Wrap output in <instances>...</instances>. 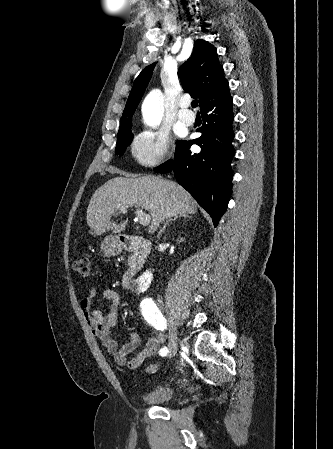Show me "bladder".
Segmentation results:
<instances>
[{
    "label": "bladder",
    "instance_id": "31cf9c89",
    "mask_svg": "<svg viewBox=\"0 0 333 449\" xmlns=\"http://www.w3.org/2000/svg\"><path fill=\"white\" fill-rule=\"evenodd\" d=\"M177 391L171 385H160L141 395V400L150 405L169 403L176 397Z\"/></svg>",
    "mask_w": 333,
    "mask_h": 449
}]
</instances>
